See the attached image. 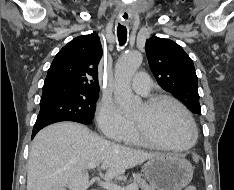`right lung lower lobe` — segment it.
<instances>
[{"instance_id":"1","label":"right lung lower lobe","mask_w":234,"mask_h":190,"mask_svg":"<svg viewBox=\"0 0 234 190\" xmlns=\"http://www.w3.org/2000/svg\"><path fill=\"white\" fill-rule=\"evenodd\" d=\"M39 130H33L32 132V139L34 138V136L36 135V133L38 132Z\"/></svg>"}]
</instances>
